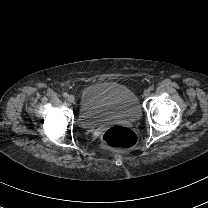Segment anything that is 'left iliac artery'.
Listing matches in <instances>:
<instances>
[{"instance_id":"left-iliac-artery-1","label":"left iliac artery","mask_w":208,"mask_h":208,"mask_svg":"<svg viewBox=\"0 0 208 208\" xmlns=\"http://www.w3.org/2000/svg\"><path fill=\"white\" fill-rule=\"evenodd\" d=\"M149 90H150V91H153V90H154V87H153V86H150V87H149Z\"/></svg>"}]
</instances>
